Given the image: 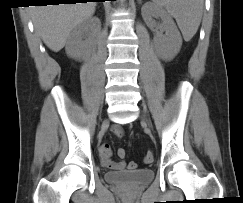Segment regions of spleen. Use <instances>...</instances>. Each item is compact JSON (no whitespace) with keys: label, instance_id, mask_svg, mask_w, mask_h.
I'll return each mask as SVG.
<instances>
[{"label":"spleen","instance_id":"spleen-1","mask_svg":"<svg viewBox=\"0 0 243 203\" xmlns=\"http://www.w3.org/2000/svg\"><path fill=\"white\" fill-rule=\"evenodd\" d=\"M165 7L176 20L185 41H190L196 34L203 15L204 0H153Z\"/></svg>","mask_w":243,"mask_h":203}]
</instances>
